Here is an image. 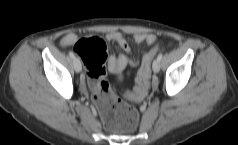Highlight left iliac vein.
<instances>
[{"mask_svg":"<svg viewBox=\"0 0 238 145\" xmlns=\"http://www.w3.org/2000/svg\"><path fill=\"white\" fill-rule=\"evenodd\" d=\"M152 69H153L154 73H158L160 70V61H158L157 59L154 60Z\"/></svg>","mask_w":238,"mask_h":145,"instance_id":"4c4485c4","label":"left iliac vein"}]
</instances>
